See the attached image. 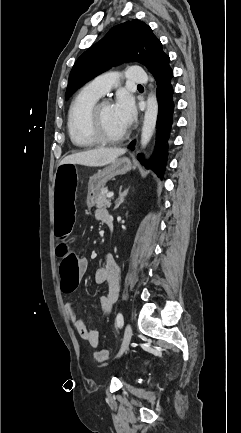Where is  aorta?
Instances as JSON below:
<instances>
[{
  "label": "aorta",
  "mask_w": 241,
  "mask_h": 433,
  "mask_svg": "<svg viewBox=\"0 0 241 433\" xmlns=\"http://www.w3.org/2000/svg\"><path fill=\"white\" fill-rule=\"evenodd\" d=\"M158 115V103L156 95L150 93L147 99L146 111L141 131V146L146 147L155 130Z\"/></svg>",
  "instance_id": "1"
}]
</instances>
